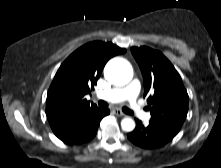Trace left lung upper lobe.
<instances>
[{
	"label": "left lung upper lobe",
	"instance_id": "5c2ea615",
	"mask_svg": "<svg viewBox=\"0 0 221 168\" xmlns=\"http://www.w3.org/2000/svg\"><path fill=\"white\" fill-rule=\"evenodd\" d=\"M144 81V97L150 121L179 132L188 112L189 97L182 79L171 62L159 51L132 47Z\"/></svg>",
	"mask_w": 221,
	"mask_h": 168
}]
</instances>
